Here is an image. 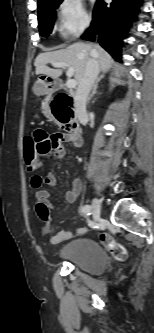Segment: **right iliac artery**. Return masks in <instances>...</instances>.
I'll return each mask as SVG.
<instances>
[{
    "label": "right iliac artery",
    "instance_id": "obj_1",
    "mask_svg": "<svg viewBox=\"0 0 154 333\" xmlns=\"http://www.w3.org/2000/svg\"><path fill=\"white\" fill-rule=\"evenodd\" d=\"M91 210L92 208L90 205H85L80 208V211L87 217V219L91 215Z\"/></svg>",
    "mask_w": 154,
    "mask_h": 333
}]
</instances>
